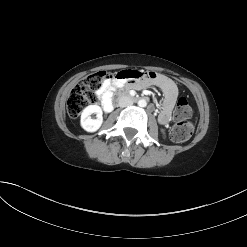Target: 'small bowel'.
<instances>
[{
    "label": "small bowel",
    "mask_w": 247,
    "mask_h": 247,
    "mask_svg": "<svg viewBox=\"0 0 247 247\" xmlns=\"http://www.w3.org/2000/svg\"><path fill=\"white\" fill-rule=\"evenodd\" d=\"M156 84L163 92L164 99L158 116L159 123L167 125L171 119V112L178 97L175 83L168 77L154 71H143L128 68L114 74L113 79L105 80L98 91V98L105 112L113 108V95L123 87L141 89L148 84Z\"/></svg>",
    "instance_id": "c3829d8e"
}]
</instances>
